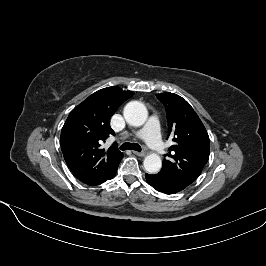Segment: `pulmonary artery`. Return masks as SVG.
I'll list each match as a JSON object with an SVG mask.
<instances>
[{
  "label": "pulmonary artery",
  "mask_w": 266,
  "mask_h": 266,
  "mask_svg": "<svg viewBox=\"0 0 266 266\" xmlns=\"http://www.w3.org/2000/svg\"><path fill=\"white\" fill-rule=\"evenodd\" d=\"M136 136L143 138L148 146L157 154L164 153V145L160 135L159 122L151 118L147 124L136 132Z\"/></svg>",
  "instance_id": "e3ab8cb5"
}]
</instances>
